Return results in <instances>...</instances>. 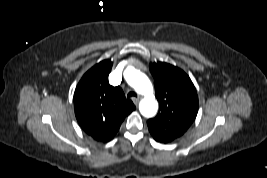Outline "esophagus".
Segmentation results:
<instances>
[{"mask_svg":"<svg viewBox=\"0 0 267 178\" xmlns=\"http://www.w3.org/2000/svg\"><path fill=\"white\" fill-rule=\"evenodd\" d=\"M133 103L137 106L139 104L140 99L139 98H132Z\"/></svg>","mask_w":267,"mask_h":178,"instance_id":"1","label":"esophagus"}]
</instances>
